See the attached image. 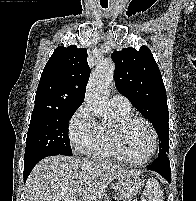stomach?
<instances>
[{"label":"stomach","mask_w":196,"mask_h":201,"mask_svg":"<svg viewBox=\"0 0 196 201\" xmlns=\"http://www.w3.org/2000/svg\"><path fill=\"white\" fill-rule=\"evenodd\" d=\"M142 186L143 182L138 176L124 175L117 178L114 189L116 194L123 201H131V199L137 195Z\"/></svg>","instance_id":"obj_1"}]
</instances>
